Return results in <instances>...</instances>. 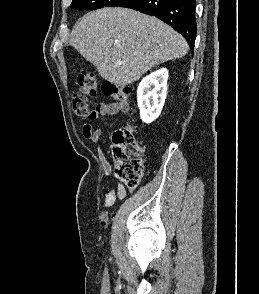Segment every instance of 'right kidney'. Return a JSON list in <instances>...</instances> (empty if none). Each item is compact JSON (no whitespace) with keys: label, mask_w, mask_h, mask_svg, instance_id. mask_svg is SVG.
Wrapping results in <instances>:
<instances>
[{"label":"right kidney","mask_w":259,"mask_h":294,"mask_svg":"<svg viewBox=\"0 0 259 294\" xmlns=\"http://www.w3.org/2000/svg\"><path fill=\"white\" fill-rule=\"evenodd\" d=\"M168 70L161 68L141 80L137 89L138 107L143 122L159 117L167 95Z\"/></svg>","instance_id":"1"}]
</instances>
